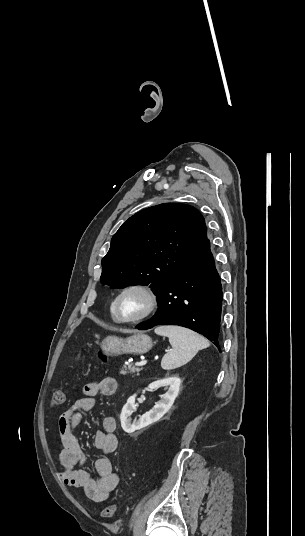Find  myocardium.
Masks as SVG:
<instances>
[{
	"instance_id": "obj_1",
	"label": "myocardium",
	"mask_w": 305,
	"mask_h": 536,
	"mask_svg": "<svg viewBox=\"0 0 305 536\" xmlns=\"http://www.w3.org/2000/svg\"><path fill=\"white\" fill-rule=\"evenodd\" d=\"M133 289L141 290L146 294L148 298V307L147 310L139 317L133 319H123L119 314V301L125 292ZM111 307L114 319L117 324L124 326H134L145 322L157 311L159 307V296L156 290L150 284L144 282H133L125 285L117 292L111 303Z\"/></svg>"
}]
</instances>
